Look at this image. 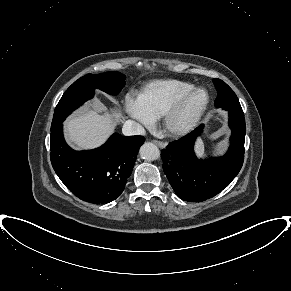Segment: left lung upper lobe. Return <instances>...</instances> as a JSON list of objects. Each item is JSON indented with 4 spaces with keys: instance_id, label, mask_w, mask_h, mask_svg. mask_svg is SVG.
I'll list each match as a JSON object with an SVG mask.
<instances>
[{
    "instance_id": "5c2ea615",
    "label": "left lung upper lobe",
    "mask_w": 291,
    "mask_h": 291,
    "mask_svg": "<svg viewBox=\"0 0 291 291\" xmlns=\"http://www.w3.org/2000/svg\"><path fill=\"white\" fill-rule=\"evenodd\" d=\"M217 88L215 105L227 111L243 112L239 100L233 90L222 80L213 79Z\"/></svg>"
}]
</instances>
